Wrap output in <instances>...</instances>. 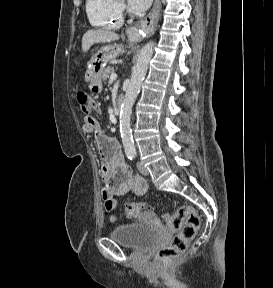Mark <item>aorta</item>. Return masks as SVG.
I'll return each mask as SVG.
<instances>
[{"label": "aorta", "mask_w": 273, "mask_h": 288, "mask_svg": "<svg viewBox=\"0 0 273 288\" xmlns=\"http://www.w3.org/2000/svg\"><path fill=\"white\" fill-rule=\"evenodd\" d=\"M153 47L154 43L150 41L140 50L136 64L132 69L130 83L120 109V133L123 147L127 155L136 154L130 127V118L132 107L140 91L142 82L148 70L149 62L153 55Z\"/></svg>", "instance_id": "1"}]
</instances>
